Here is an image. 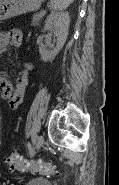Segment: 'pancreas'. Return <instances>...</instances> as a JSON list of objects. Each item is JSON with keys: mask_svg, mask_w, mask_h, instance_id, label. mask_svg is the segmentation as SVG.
Wrapping results in <instances>:
<instances>
[{"mask_svg": "<svg viewBox=\"0 0 119 185\" xmlns=\"http://www.w3.org/2000/svg\"><path fill=\"white\" fill-rule=\"evenodd\" d=\"M44 14L41 13H36L33 15V19H32V25L36 26L38 24V21L43 17Z\"/></svg>", "mask_w": 119, "mask_h": 185, "instance_id": "pancreas-1", "label": "pancreas"}]
</instances>
